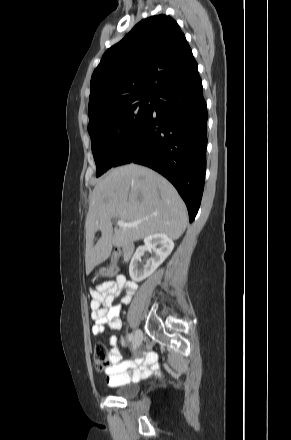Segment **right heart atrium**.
Here are the masks:
<instances>
[{
	"label": "right heart atrium",
	"mask_w": 291,
	"mask_h": 440,
	"mask_svg": "<svg viewBox=\"0 0 291 440\" xmlns=\"http://www.w3.org/2000/svg\"><path fill=\"white\" fill-rule=\"evenodd\" d=\"M114 136L117 139H121L124 136V128L121 125H118L114 129Z\"/></svg>",
	"instance_id": "1"
}]
</instances>
